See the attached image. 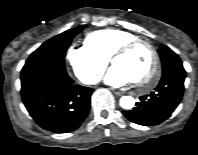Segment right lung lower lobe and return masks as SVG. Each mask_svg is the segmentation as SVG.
I'll return each instance as SVG.
<instances>
[{
    "label": "right lung lower lobe",
    "instance_id": "obj_1",
    "mask_svg": "<svg viewBox=\"0 0 198 155\" xmlns=\"http://www.w3.org/2000/svg\"><path fill=\"white\" fill-rule=\"evenodd\" d=\"M92 91L75 85L65 68L57 65L32 62L21 71L23 103L36 123L51 132L77 129L90 110Z\"/></svg>",
    "mask_w": 198,
    "mask_h": 155
}]
</instances>
